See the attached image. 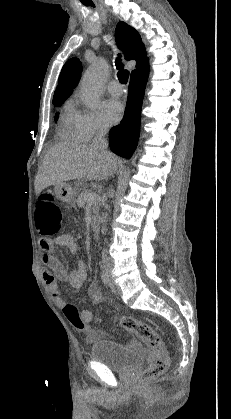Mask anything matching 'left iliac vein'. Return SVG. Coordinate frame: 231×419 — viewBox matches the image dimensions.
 <instances>
[{
	"label": "left iliac vein",
	"instance_id": "4c4485c4",
	"mask_svg": "<svg viewBox=\"0 0 231 419\" xmlns=\"http://www.w3.org/2000/svg\"><path fill=\"white\" fill-rule=\"evenodd\" d=\"M107 275H108V277H109V279H110L109 286H110L111 290H112L114 293H116V286H115V283H114L113 278H112V276H111V271H110V270H107Z\"/></svg>",
	"mask_w": 231,
	"mask_h": 419
}]
</instances>
